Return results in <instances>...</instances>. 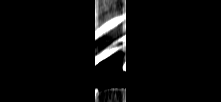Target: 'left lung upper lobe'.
<instances>
[{
	"mask_svg": "<svg viewBox=\"0 0 221 102\" xmlns=\"http://www.w3.org/2000/svg\"><path fill=\"white\" fill-rule=\"evenodd\" d=\"M100 51V47L95 49V45L89 48L86 52L83 51L79 54L78 58L74 62V66L77 71L84 75L94 64L95 57Z\"/></svg>",
	"mask_w": 221,
	"mask_h": 102,
	"instance_id": "5c2ea615",
	"label": "left lung upper lobe"
}]
</instances>
